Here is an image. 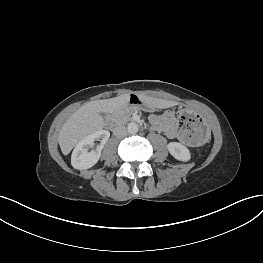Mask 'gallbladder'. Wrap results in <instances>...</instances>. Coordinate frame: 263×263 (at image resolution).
I'll use <instances>...</instances> for the list:
<instances>
[{"label":"gallbladder","mask_w":263,"mask_h":263,"mask_svg":"<svg viewBox=\"0 0 263 263\" xmlns=\"http://www.w3.org/2000/svg\"><path fill=\"white\" fill-rule=\"evenodd\" d=\"M101 116H102V117H106V114H105V113H101Z\"/></svg>","instance_id":"obj_1"}]
</instances>
